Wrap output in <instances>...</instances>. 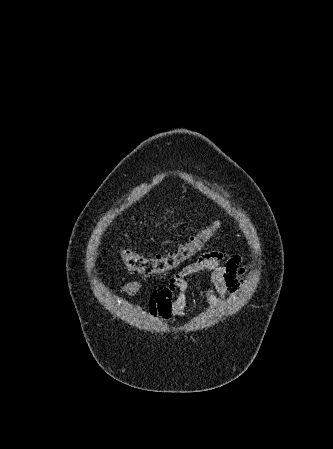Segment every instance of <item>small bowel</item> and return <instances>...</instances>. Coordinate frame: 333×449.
I'll use <instances>...</instances> for the list:
<instances>
[{"mask_svg":"<svg viewBox=\"0 0 333 449\" xmlns=\"http://www.w3.org/2000/svg\"><path fill=\"white\" fill-rule=\"evenodd\" d=\"M239 256H226L219 251L205 252L197 261L185 266L170 277L167 285L156 289L148 299L149 315L163 322L172 323L186 314L188 289L187 278L204 274L205 296L213 308H219L224 300L237 294L245 284L246 270L241 266ZM141 289L137 281H130L120 287V291L133 296ZM139 311L142 305L137 306Z\"/></svg>","mask_w":333,"mask_h":449,"instance_id":"c3829d8e","label":"small bowel"}]
</instances>
